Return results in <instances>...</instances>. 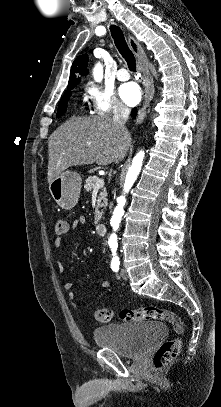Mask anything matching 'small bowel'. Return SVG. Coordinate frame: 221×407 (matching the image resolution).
Here are the masks:
<instances>
[{
    "label": "small bowel",
    "instance_id": "obj_1",
    "mask_svg": "<svg viewBox=\"0 0 221 407\" xmlns=\"http://www.w3.org/2000/svg\"><path fill=\"white\" fill-rule=\"evenodd\" d=\"M85 224H86V219H85V217L80 216V217H78V218L74 221V223H73V229H80V228L84 227ZM61 246H62V238H59V237H58V238H56L55 241H54L55 250H59V249L61 248ZM57 267H58L60 273H63V272H64V265H63L61 262H57ZM109 285H110L109 280H104V281H102V283H101V287H102V288H106V287H108ZM62 287H63V289H64L65 291L68 292V297H69L70 300H76V299H77L76 294L71 291V289H72V283H71V282H69V281L63 282Z\"/></svg>",
    "mask_w": 221,
    "mask_h": 407
}]
</instances>
